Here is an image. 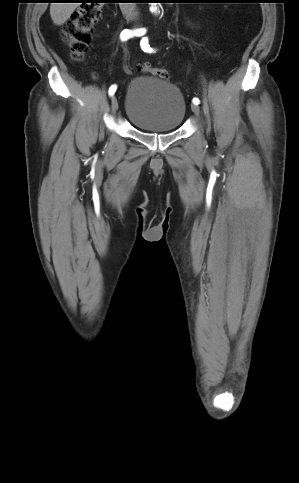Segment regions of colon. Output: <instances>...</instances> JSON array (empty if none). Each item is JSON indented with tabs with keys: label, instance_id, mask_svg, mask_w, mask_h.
Returning a JSON list of instances; mask_svg holds the SVG:
<instances>
[{
	"label": "colon",
	"instance_id": "colon-1",
	"mask_svg": "<svg viewBox=\"0 0 299 483\" xmlns=\"http://www.w3.org/2000/svg\"><path fill=\"white\" fill-rule=\"evenodd\" d=\"M103 0H94L77 8L66 23L63 38L69 45L74 61H81L89 49L92 32L103 13ZM139 69L162 80H169L167 70L150 65H141Z\"/></svg>",
	"mask_w": 299,
	"mask_h": 483
}]
</instances>
